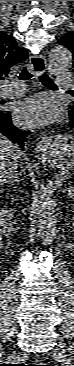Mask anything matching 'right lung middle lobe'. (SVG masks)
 I'll return each instance as SVG.
<instances>
[{"label": "right lung middle lobe", "instance_id": "dd1d6c3e", "mask_svg": "<svg viewBox=\"0 0 74 366\" xmlns=\"http://www.w3.org/2000/svg\"><path fill=\"white\" fill-rule=\"evenodd\" d=\"M4 102L0 100V105L3 104Z\"/></svg>", "mask_w": 74, "mask_h": 366}]
</instances>
